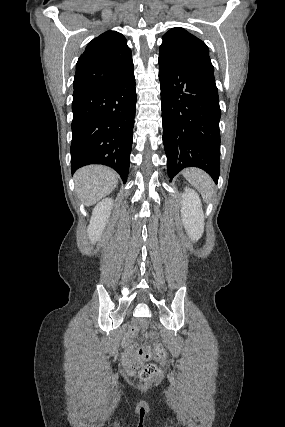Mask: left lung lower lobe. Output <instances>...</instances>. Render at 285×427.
Listing matches in <instances>:
<instances>
[{"mask_svg": "<svg viewBox=\"0 0 285 427\" xmlns=\"http://www.w3.org/2000/svg\"><path fill=\"white\" fill-rule=\"evenodd\" d=\"M159 78L169 178L198 167L217 182L221 110L213 72L159 58Z\"/></svg>", "mask_w": 285, "mask_h": 427, "instance_id": "0a47b994", "label": "left lung lower lobe"}]
</instances>
